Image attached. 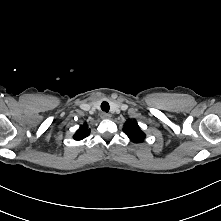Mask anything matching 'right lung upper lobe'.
Returning a JSON list of instances; mask_svg holds the SVG:
<instances>
[{"instance_id":"right-lung-upper-lobe-1","label":"right lung upper lobe","mask_w":221,"mask_h":221,"mask_svg":"<svg viewBox=\"0 0 221 221\" xmlns=\"http://www.w3.org/2000/svg\"><path fill=\"white\" fill-rule=\"evenodd\" d=\"M89 133L90 130L88 129V125L84 124L83 126H80V128L77 130L73 137L75 140H82L85 137H87Z\"/></svg>"}]
</instances>
